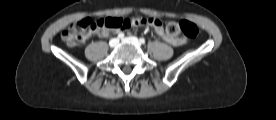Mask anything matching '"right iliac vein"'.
Returning a JSON list of instances; mask_svg holds the SVG:
<instances>
[{
    "label": "right iliac vein",
    "instance_id": "1",
    "mask_svg": "<svg viewBox=\"0 0 276 120\" xmlns=\"http://www.w3.org/2000/svg\"><path fill=\"white\" fill-rule=\"evenodd\" d=\"M118 43H119V40L115 38V39L110 40L109 45H110V47H115L118 45Z\"/></svg>",
    "mask_w": 276,
    "mask_h": 120
}]
</instances>
